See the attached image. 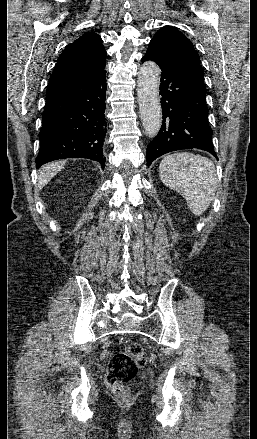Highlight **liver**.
Wrapping results in <instances>:
<instances>
[{
	"label": "liver",
	"mask_w": 257,
	"mask_h": 439,
	"mask_svg": "<svg viewBox=\"0 0 257 439\" xmlns=\"http://www.w3.org/2000/svg\"><path fill=\"white\" fill-rule=\"evenodd\" d=\"M64 161L44 165L39 173V188H43L64 166Z\"/></svg>",
	"instance_id": "liver-1"
}]
</instances>
